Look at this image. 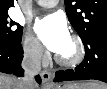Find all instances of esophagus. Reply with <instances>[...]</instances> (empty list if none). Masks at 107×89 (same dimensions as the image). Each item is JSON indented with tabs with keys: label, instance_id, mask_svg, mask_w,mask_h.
<instances>
[{
	"label": "esophagus",
	"instance_id": "1",
	"mask_svg": "<svg viewBox=\"0 0 107 89\" xmlns=\"http://www.w3.org/2000/svg\"><path fill=\"white\" fill-rule=\"evenodd\" d=\"M53 73L50 70H43L41 72L42 83L47 85L51 84Z\"/></svg>",
	"mask_w": 107,
	"mask_h": 89
}]
</instances>
